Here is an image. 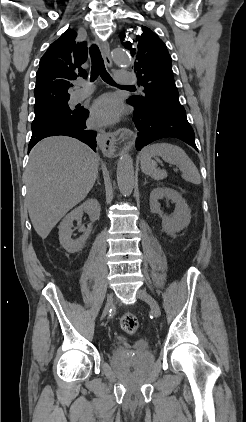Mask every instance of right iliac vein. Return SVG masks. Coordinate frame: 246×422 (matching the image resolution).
<instances>
[{
  "label": "right iliac vein",
  "instance_id": "obj_1",
  "mask_svg": "<svg viewBox=\"0 0 246 422\" xmlns=\"http://www.w3.org/2000/svg\"><path fill=\"white\" fill-rule=\"evenodd\" d=\"M113 302H114V300H113V294L110 293L108 295V297H107V301H106L105 307L103 309L101 319H103L109 313V310L113 306Z\"/></svg>",
  "mask_w": 246,
  "mask_h": 422
}]
</instances>
